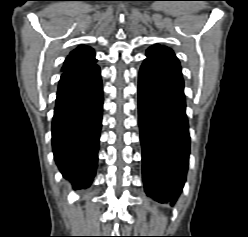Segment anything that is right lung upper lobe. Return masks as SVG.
Returning a JSON list of instances; mask_svg holds the SVG:
<instances>
[{
	"instance_id": "cb5924a9",
	"label": "right lung upper lobe",
	"mask_w": 248,
	"mask_h": 237,
	"mask_svg": "<svg viewBox=\"0 0 248 237\" xmlns=\"http://www.w3.org/2000/svg\"><path fill=\"white\" fill-rule=\"evenodd\" d=\"M96 61L93 49L82 45L69 54L64 62L62 71L65 73L79 70L95 64Z\"/></svg>"
}]
</instances>
